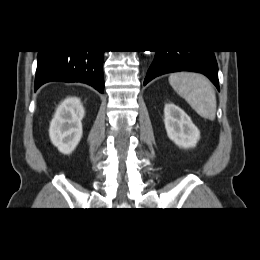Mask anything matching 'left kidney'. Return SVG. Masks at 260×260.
<instances>
[{
	"instance_id": "obj_1",
	"label": "left kidney",
	"mask_w": 260,
	"mask_h": 260,
	"mask_svg": "<svg viewBox=\"0 0 260 260\" xmlns=\"http://www.w3.org/2000/svg\"><path fill=\"white\" fill-rule=\"evenodd\" d=\"M164 124L168 137L177 146L184 149L196 146L200 131L180 107L173 103L165 105Z\"/></svg>"
}]
</instances>
